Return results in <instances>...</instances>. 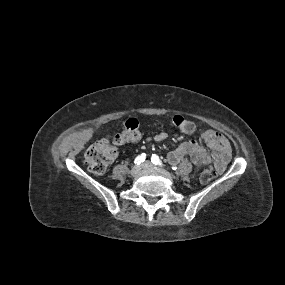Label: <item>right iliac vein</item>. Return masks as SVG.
<instances>
[{"instance_id": "obj_1", "label": "right iliac vein", "mask_w": 285, "mask_h": 285, "mask_svg": "<svg viewBox=\"0 0 285 285\" xmlns=\"http://www.w3.org/2000/svg\"><path fill=\"white\" fill-rule=\"evenodd\" d=\"M140 170H141V167L139 165H135V166L132 167V169L130 171V175L132 177H136V176H138Z\"/></svg>"}]
</instances>
